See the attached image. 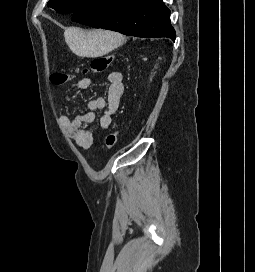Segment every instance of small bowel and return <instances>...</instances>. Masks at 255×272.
Masks as SVG:
<instances>
[{
  "label": "small bowel",
  "instance_id": "small-bowel-1",
  "mask_svg": "<svg viewBox=\"0 0 255 272\" xmlns=\"http://www.w3.org/2000/svg\"><path fill=\"white\" fill-rule=\"evenodd\" d=\"M107 97H97L89 101L90 112L72 119L68 115H61L60 121L68 136L74 143L87 150L93 143V130L88 126L94 122L96 110L103 111L99 125L102 129H107L118 110L124 94V83L122 73L113 71L108 75ZM91 84V78L83 77L74 86L77 91L87 89Z\"/></svg>",
  "mask_w": 255,
  "mask_h": 272
}]
</instances>
